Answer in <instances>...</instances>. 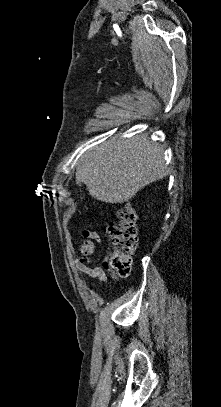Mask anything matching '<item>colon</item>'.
Returning <instances> with one entry per match:
<instances>
[{"instance_id": "5ec220e1", "label": "colon", "mask_w": 221, "mask_h": 407, "mask_svg": "<svg viewBox=\"0 0 221 407\" xmlns=\"http://www.w3.org/2000/svg\"><path fill=\"white\" fill-rule=\"evenodd\" d=\"M117 216L119 221L106 227V234L112 243L106 264L120 276H128L137 245L136 214L133 208L126 204L119 208Z\"/></svg>"}]
</instances>
